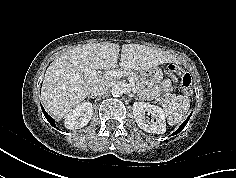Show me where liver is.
<instances>
[{
  "instance_id": "liver-1",
  "label": "liver",
  "mask_w": 236,
  "mask_h": 178,
  "mask_svg": "<svg viewBox=\"0 0 236 178\" xmlns=\"http://www.w3.org/2000/svg\"><path fill=\"white\" fill-rule=\"evenodd\" d=\"M120 46L100 42L76 46L62 53L47 68L41 88V100L46 111L57 118L66 117L90 94L93 86L111 83V79L91 71L110 70L117 65L122 70L141 71L175 59L166 51L140 44H124L118 63Z\"/></svg>"
}]
</instances>
